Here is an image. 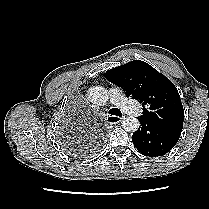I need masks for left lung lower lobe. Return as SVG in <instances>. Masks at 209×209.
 Wrapping results in <instances>:
<instances>
[{"instance_id": "0a47b994", "label": "left lung lower lobe", "mask_w": 209, "mask_h": 209, "mask_svg": "<svg viewBox=\"0 0 209 209\" xmlns=\"http://www.w3.org/2000/svg\"><path fill=\"white\" fill-rule=\"evenodd\" d=\"M140 126L133 134L132 141L139 152L146 156L165 155L179 140L181 132L166 130L138 117Z\"/></svg>"}]
</instances>
